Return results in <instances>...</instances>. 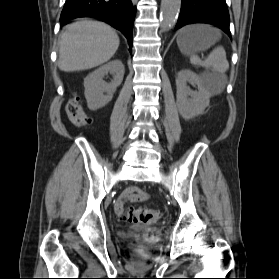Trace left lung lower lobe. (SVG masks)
<instances>
[{"mask_svg":"<svg viewBox=\"0 0 279 279\" xmlns=\"http://www.w3.org/2000/svg\"><path fill=\"white\" fill-rule=\"evenodd\" d=\"M192 23L215 25L231 38L230 18L225 0H182L175 30Z\"/></svg>","mask_w":279,"mask_h":279,"instance_id":"1","label":"left lung lower lobe"}]
</instances>
